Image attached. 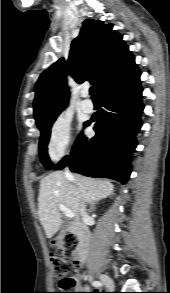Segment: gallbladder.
Returning a JSON list of instances; mask_svg holds the SVG:
<instances>
[{
  "label": "gallbladder",
  "mask_w": 170,
  "mask_h": 293,
  "mask_svg": "<svg viewBox=\"0 0 170 293\" xmlns=\"http://www.w3.org/2000/svg\"><path fill=\"white\" fill-rule=\"evenodd\" d=\"M67 228H68V224L65 223V224L62 226V228H61V230H60V232H59V234H58V236H57V241H58L59 243L62 242V240H63L64 237L66 236V234H67Z\"/></svg>",
  "instance_id": "gallbladder-1"
}]
</instances>
